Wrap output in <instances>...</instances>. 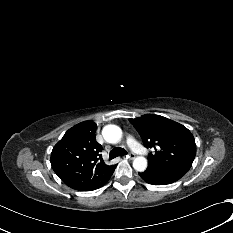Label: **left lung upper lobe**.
<instances>
[{"instance_id": "left-lung-upper-lobe-1", "label": "left lung upper lobe", "mask_w": 233, "mask_h": 233, "mask_svg": "<svg viewBox=\"0 0 233 233\" xmlns=\"http://www.w3.org/2000/svg\"><path fill=\"white\" fill-rule=\"evenodd\" d=\"M142 137L148 155V169L173 181L190 169L196 155L191 132L183 125L160 115L147 114L129 119Z\"/></svg>"}]
</instances>
